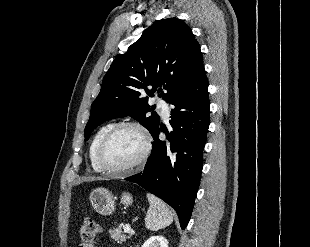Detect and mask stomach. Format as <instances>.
<instances>
[{"mask_svg":"<svg viewBox=\"0 0 310 247\" xmlns=\"http://www.w3.org/2000/svg\"><path fill=\"white\" fill-rule=\"evenodd\" d=\"M89 200L94 210L101 215H110L115 210V198L113 194L106 188H96L89 196ZM131 194L124 192L121 196V203L125 206L132 204Z\"/></svg>","mask_w":310,"mask_h":247,"instance_id":"stomach-1","label":"stomach"}]
</instances>
